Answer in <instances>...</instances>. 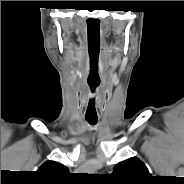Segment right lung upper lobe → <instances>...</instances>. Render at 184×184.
Returning <instances> with one entry per match:
<instances>
[{"instance_id": "1", "label": "right lung upper lobe", "mask_w": 184, "mask_h": 184, "mask_svg": "<svg viewBox=\"0 0 184 184\" xmlns=\"http://www.w3.org/2000/svg\"><path fill=\"white\" fill-rule=\"evenodd\" d=\"M37 172L42 176L44 181L49 183H62L69 174L66 166L54 161H47Z\"/></svg>"}]
</instances>
